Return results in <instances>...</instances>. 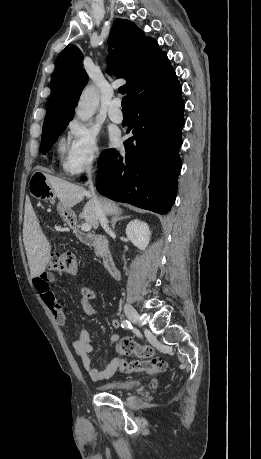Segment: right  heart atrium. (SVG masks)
<instances>
[{
  "label": "right heart atrium",
  "instance_id": "right-heart-atrium-1",
  "mask_svg": "<svg viewBox=\"0 0 261 459\" xmlns=\"http://www.w3.org/2000/svg\"><path fill=\"white\" fill-rule=\"evenodd\" d=\"M70 145L63 162L64 170L78 175L94 168L101 155L97 132L90 126L72 121L68 127Z\"/></svg>",
  "mask_w": 261,
  "mask_h": 459
}]
</instances>
